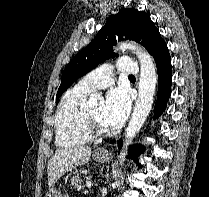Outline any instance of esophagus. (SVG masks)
Masks as SVG:
<instances>
[{"label":"esophagus","instance_id":"obj_1","mask_svg":"<svg viewBox=\"0 0 209 197\" xmlns=\"http://www.w3.org/2000/svg\"><path fill=\"white\" fill-rule=\"evenodd\" d=\"M98 152L103 153V154H108V151L105 148H100Z\"/></svg>","mask_w":209,"mask_h":197}]
</instances>
